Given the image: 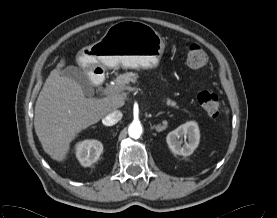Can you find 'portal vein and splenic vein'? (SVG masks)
<instances>
[{"label": "portal vein and splenic vein", "instance_id": "obj_1", "mask_svg": "<svg viewBox=\"0 0 277 218\" xmlns=\"http://www.w3.org/2000/svg\"><path fill=\"white\" fill-rule=\"evenodd\" d=\"M137 91H138V89H137ZM114 92H116V89H114L112 86L106 87L103 91L104 94H110V93H114Z\"/></svg>", "mask_w": 277, "mask_h": 218}]
</instances>
